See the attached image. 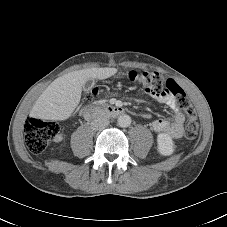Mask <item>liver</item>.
<instances>
[{
    "label": "liver",
    "instance_id": "6515ba94",
    "mask_svg": "<svg viewBox=\"0 0 227 227\" xmlns=\"http://www.w3.org/2000/svg\"><path fill=\"white\" fill-rule=\"evenodd\" d=\"M116 68H90L65 74L55 79L39 96L30 115L45 120H66L78 106L82 87L90 79H107Z\"/></svg>",
    "mask_w": 227,
    "mask_h": 227
}]
</instances>
